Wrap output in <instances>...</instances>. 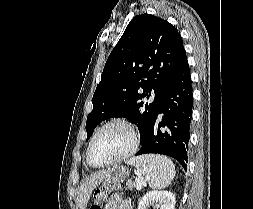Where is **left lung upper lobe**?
I'll return each instance as SVG.
<instances>
[{
	"mask_svg": "<svg viewBox=\"0 0 253 209\" xmlns=\"http://www.w3.org/2000/svg\"><path fill=\"white\" fill-rule=\"evenodd\" d=\"M186 58L173 25L150 14L135 16L104 66L87 117V140L100 122L125 117L138 124L142 143L159 113L166 87Z\"/></svg>",
	"mask_w": 253,
	"mask_h": 209,
	"instance_id": "1",
	"label": "left lung upper lobe"
}]
</instances>
